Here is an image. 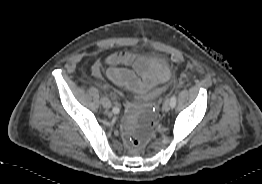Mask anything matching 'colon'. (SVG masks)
<instances>
[{"mask_svg":"<svg viewBox=\"0 0 262 184\" xmlns=\"http://www.w3.org/2000/svg\"><path fill=\"white\" fill-rule=\"evenodd\" d=\"M154 121V113L150 108H137L128 105L124 124L126 143L135 149L142 148L150 137Z\"/></svg>","mask_w":262,"mask_h":184,"instance_id":"colon-1","label":"colon"}]
</instances>
